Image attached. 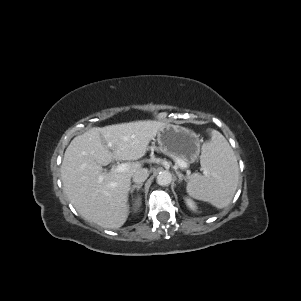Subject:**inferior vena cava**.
Masks as SVG:
<instances>
[{
    "instance_id": "602c4592",
    "label": "inferior vena cava",
    "mask_w": 301,
    "mask_h": 301,
    "mask_svg": "<svg viewBox=\"0 0 301 301\" xmlns=\"http://www.w3.org/2000/svg\"><path fill=\"white\" fill-rule=\"evenodd\" d=\"M149 176L146 168H139L133 174V181L137 184H142Z\"/></svg>"
}]
</instances>
